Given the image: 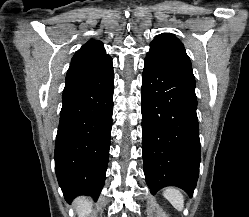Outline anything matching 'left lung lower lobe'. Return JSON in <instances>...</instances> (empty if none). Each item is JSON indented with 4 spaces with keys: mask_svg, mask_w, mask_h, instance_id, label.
I'll use <instances>...</instances> for the list:
<instances>
[{
    "mask_svg": "<svg viewBox=\"0 0 249 217\" xmlns=\"http://www.w3.org/2000/svg\"><path fill=\"white\" fill-rule=\"evenodd\" d=\"M141 107L144 174L151 193L177 186L192 196L201 160L195 79L144 63Z\"/></svg>",
    "mask_w": 249,
    "mask_h": 217,
    "instance_id": "0a47b994",
    "label": "left lung lower lobe"
}]
</instances>
